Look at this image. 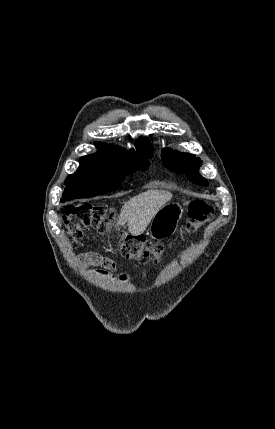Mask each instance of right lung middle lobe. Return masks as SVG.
<instances>
[{
  "instance_id": "obj_1",
  "label": "right lung middle lobe",
  "mask_w": 275,
  "mask_h": 429,
  "mask_svg": "<svg viewBox=\"0 0 275 429\" xmlns=\"http://www.w3.org/2000/svg\"><path fill=\"white\" fill-rule=\"evenodd\" d=\"M150 157L125 156L106 165L81 164L74 174L66 178L61 201L89 198L112 191L121 185L127 175L137 170H147Z\"/></svg>"
}]
</instances>
